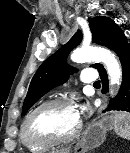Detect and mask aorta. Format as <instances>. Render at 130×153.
<instances>
[{
  "label": "aorta",
  "mask_w": 130,
  "mask_h": 153,
  "mask_svg": "<svg viewBox=\"0 0 130 153\" xmlns=\"http://www.w3.org/2000/svg\"><path fill=\"white\" fill-rule=\"evenodd\" d=\"M71 60L76 63L102 62L106 67L110 85H120L121 83L122 70L120 64L115 55L108 49L101 47L78 48L72 53ZM110 93L113 95L112 89Z\"/></svg>",
  "instance_id": "obj_1"
}]
</instances>
